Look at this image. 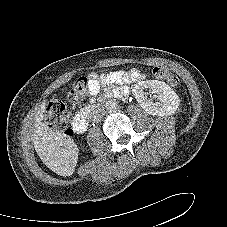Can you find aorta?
Instances as JSON below:
<instances>
[{"label":"aorta","instance_id":"obj_1","mask_svg":"<svg viewBox=\"0 0 227 227\" xmlns=\"http://www.w3.org/2000/svg\"><path fill=\"white\" fill-rule=\"evenodd\" d=\"M105 108L108 111H114L117 108V102L115 99H109L105 102Z\"/></svg>","mask_w":227,"mask_h":227}]
</instances>
